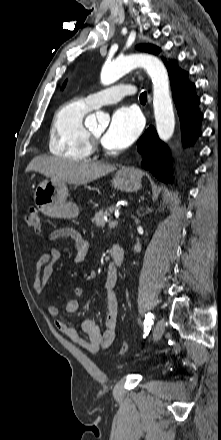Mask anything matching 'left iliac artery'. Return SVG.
Wrapping results in <instances>:
<instances>
[{
    "mask_svg": "<svg viewBox=\"0 0 221 440\" xmlns=\"http://www.w3.org/2000/svg\"><path fill=\"white\" fill-rule=\"evenodd\" d=\"M153 314L152 313H147L145 315V320H144V337L149 333L150 329H151V324L153 323Z\"/></svg>",
    "mask_w": 221,
    "mask_h": 440,
    "instance_id": "1",
    "label": "left iliac artery"
}]
</instances>
